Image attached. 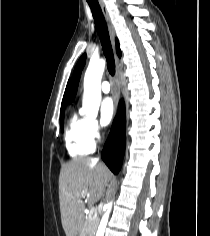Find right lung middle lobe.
<instances>
[{"mask_svg":"<svg viewBox=\"0 0 210 236\" xmlns=\"http://www.w3.org/2000/svg\"><path fill=\"white\" fill-rule=\"evenodd\" d=\"M63 118H64V112H61L60 113V125H61L62 129H63Z\"/></svg>","mask_w":210,"mask_h":236,"instance_id":"right-lung-middle-lobe-1","label":"right lung middle lobe"}]
</instances>
